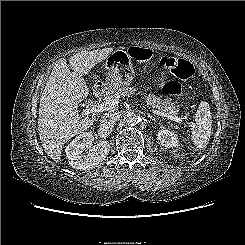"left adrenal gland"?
<instances>
[{"mask_svg": "<svg viewBox=\"0 0 245 245\" xmlns=\"http://www.w3.org/2000/svg\"><path fill=\"white\" fill-rule=\"evenodd\" d=\"M148 117H149L150 119H152L153 121L157 122V121H156V118H155L154 116H152L151 114H148Z\"/></svg>", "mask_w": 245, "mask_h": 245, "instance_id": "left-adrenal-gland-1", "label": "left adrenal gland"}]
</instances>
